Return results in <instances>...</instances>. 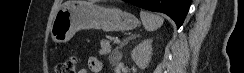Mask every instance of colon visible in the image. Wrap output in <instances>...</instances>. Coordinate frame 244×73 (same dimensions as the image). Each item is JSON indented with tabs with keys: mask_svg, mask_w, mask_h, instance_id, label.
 Instances as JSON below:
<instances>
[{
	"mask_svg": "<svg viewBox=\"0 0 244 73\" xmlns=\"http://www.w3.org/2000/svg\"><path fill=\"white\" fill-rule=\"evenodd\" d=\"M77 66V58L75 56H70L58 63L55 69V73H75Z\"/></svg>",
	"mask_w": 244,
	"mask_h": 73,
	"instance_id": "5ec220e1",
	"label": "colon"
}]
</instances>
